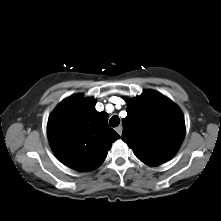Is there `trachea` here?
<instances>
[{
    "mask_svg": "<svg viewBox=\"0 0 221 221\" xmlns=\"http://www.w3.org/2000/svg\"><path fill=\"white\" fill-rule=\"evenodd\" d=\"M120 124V119L117 115H114L111 117L110 121H109V125L111 127H117Z\"/></svg>",
    "mask_w": 221,
    "mask_h": 221,
    "instance_id": "trachea-1",
    "label": "trachea"
}]
</instances>
